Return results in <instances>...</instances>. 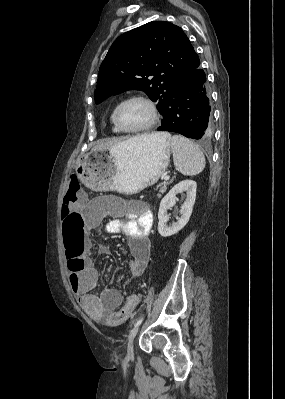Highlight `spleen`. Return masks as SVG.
<instances>
[{"label":"spleen","instance_id":"obj_1","mask_svg":"<svg viewBox=\"0 0 285 399\" xmlns=\"http://www.w3.org/2000/svg\"><path fill=\"white\" fill-rule=\"evenodd\" d=\"M171 149L174 165L182 175H197L205 168L206 160L202 151L188 138L182 135L172 136Z\"/></svg>","mask_w":285,"mask_h":399}]
</instances>
